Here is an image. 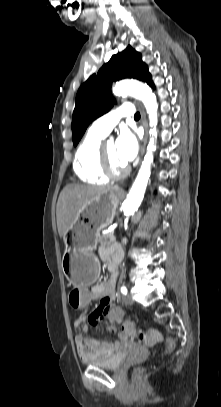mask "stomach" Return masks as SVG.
<instances>
[{"label":"stomach","instance_id":"0dacf381","mask_svg":"<svg viewBox=\"0 0 221 407\" xmlns=\"http://www.w3.org/2000/svg\"><path fill=\"white\" fill-rule=\"evenodd\" d=\"M119 200L120 195L114 189L95 196L64 233L62 269L73 285H90L97 280L100 266L94 250L100 231L112 223Z\"/></svg>","mask_w":221,"mask_h":407}]
</instances>
